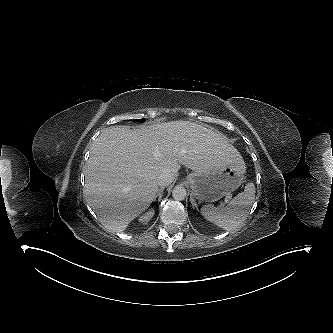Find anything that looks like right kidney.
Here are the masks:
<instances>
[{"instance_id": "1", "label": "right kidney", "mask_w": 333, "mask_h": 333, "mask_svg": "<svg viewBox=\"0 0 333 333\" xmlns=\"http://www.w3.org/2000/svg\"><path fill=\"white\" fill-rule=\"evenodd\" d=\"M154 214H155V211L153 209H150L145 214L140 216L138 220H139V222L145 224L154 216Z\"/></svg>"}]
</instances>
